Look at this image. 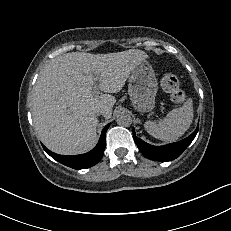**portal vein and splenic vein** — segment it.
Here are the masks:
<instances>
[{"instance_id":"obj_1","label":"portal vein and splenic vein","mask_w":231,"mask_h":231,"mask_svg":"<svg viewBox=\"0 0 231 231\" xmlns=\"http://www.w3.org/2000/svg\"><path fill=\"white\" fill-rule=\"evenodd\" d=\"M96 80H97V76H96ZM98 90H99V89H98V86L95 85V86L93 87V94H94V95L99 94V91H98Z\"/></svg>"}]
</instances>
